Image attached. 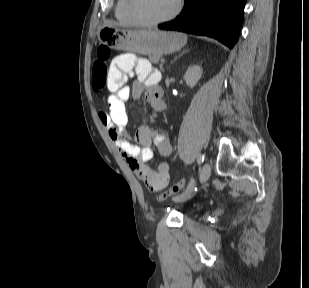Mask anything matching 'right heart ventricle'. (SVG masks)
I'll list each match as a JSON object with an SVG mask.
<instances>
[{
    "instance_id": "obj_1",
    "label": "right heart ventricle",
    "mask_w": 309,
    "mask_h": 288,
    "mask_svg": "<svg viewBox=\"0 0 309 288\" xmlns=\"http://www.w3.org/2000/svg\"><path fill=\"white\" fill-rule=\"evenodd\" d=\"M125 4L126 0H117L116 6H115V17L117 20L125 25L132 24V21L128 17L126 10H125Z\"/></svg>"
}]
</instances>
